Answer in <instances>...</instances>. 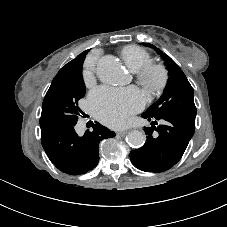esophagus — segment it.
I'll return each mask as SVG.
<instances>
[{
    "label": "esophagus",
    "instance_id": "34e87169",
    "mask_svg": "<svg viewBox=\"0 0 227 227\" xmlns=\"http://www.w3.org/2000/svg\"><path fill=\"white\" fill-rule=\"evenodd\" d=\"M126 134H127V130H122L117 132V135H120V136H125Z\"/></svg>",
    "mask_w": 227,
    "mask_h": 227
}]
</instances>
